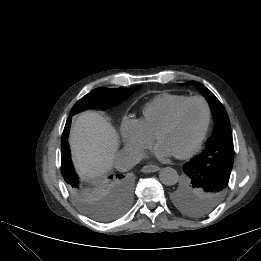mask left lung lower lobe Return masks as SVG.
Instances as JSON below:
<instances>
[{
    "mask_svg": "<svg viewBox=\"0 0 261 261\" xmlns=\"http://www.w3.org/2000/svg\"><path fill=\"white\" fill-rule=\"evenodd\" d=\"M183 171L186 174V176L191 177V178H195L196 175H199L198 167L193 162L186 163L183 166Z\"/></svg>",
    "mask_w": 261,
    "mask_h": 261,
    "instance_id": "obj_1",
    "label": "left lung lower lobe"
}]
</instances>
